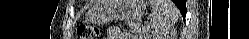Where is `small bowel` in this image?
<instances>
[{
  "instance_id": "c3829d8e",
  "label": "small bowel",
  "mask_w": 249,
  "mask_h": 39,
  "mask_svg": "<svg viewBox=\"0 0 249 39\" xmlns=\"http://www.w3.org/2000/svg\"><path fill=\"white\" fill-rule=\"evenodd\" d=\"M126 36L128 34L118 27H110L107 30V39H120Z\"/></svg>"
}]
</instances>
